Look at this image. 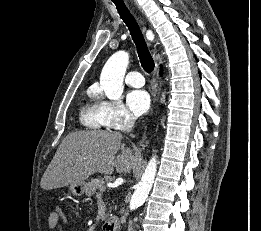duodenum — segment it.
<instances>
[{"label":"duodenum","instance_id":"duodenum-1","mask_svg":"<svg viewBox=\"0 0 261 231\" xmlns=\"http://www.w3.org/2000/svg\"><path fill=\"white\" fill-rule=\"evenodd\" d=\"M120 221L118 217H111L107 219L103 224V231H118Z\"/></svg>","mask_w":261,"mask_h":231}]
</instances>
